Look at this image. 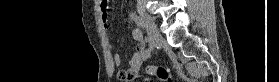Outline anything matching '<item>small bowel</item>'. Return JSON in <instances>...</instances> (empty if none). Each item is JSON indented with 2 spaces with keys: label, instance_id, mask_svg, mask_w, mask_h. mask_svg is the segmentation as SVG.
<instances>
[{
  "label": "small bowel",
  "instance_id": "1",
  "mask_svg": "<svg viewBox=\"0 0 279 82\" xmlns=\"http://www.w3.org/2000/svg\"><path fill=\"white\" fill-rule=\"evenodd\" d=\"M108 7L109 2L107 0L99 1V8L102 14V21L105 27H108ZM133 38L136 42L135 52L129 60L128 67L118 72V78L121 81H128L133 77L137 76L140 70L141 63L145 59L146 47L144 40L140 36L139 30L135 29L133 31ZM112 62L114 66H119L121 63V55L119 53H114L112 55ZM122 72L125 74L124 76L121 75Z\"/></svg>",
  "mask_w": 279,
  "mask_h": 82
}]
</instances>
